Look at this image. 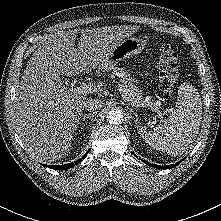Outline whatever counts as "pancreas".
<instances>
[{"label":"pancreas","instance_id":"obj_1","mask_svg":"<svg viewBox=\"0 0 221 221\" xmlns=\"http://www.w3.org/2000/svg\"><path fill=\"white\" fill-rule=\"evenodd\" d=\"M113 74L114 75L121 74V76H122L121 82L127 92V97L129 99V101L130 102L134 101V102L140 103L139 100L142 99V96H141L142 93L134 84V82H133L134 79L130 76V74L128 72H126L123 68H114Z\"/></svg>","mask_w":221,"mask_h":221}]
</instances>
